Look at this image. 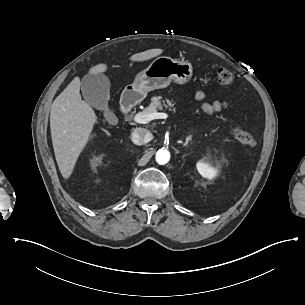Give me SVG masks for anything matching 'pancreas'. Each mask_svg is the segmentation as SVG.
<instances>
[{
    "mask_svg": "<svg viewBox=\"0 0 305 305\" xmlns=\"http://www.w3.org/2000/svg\"><path fill=\"white\" fill-rule=\"evenodd\" d=\"M175 103H172V101L166 99L162 100L161 96H155L151 98V103L150 105L144 110L146 112H154L156 109L162 110L163 107L169 108V110H172L173 112L176 111L175 108L171 109V107H174Z\"/></svg>",
    "mask_w": 305,
    "mask_h": 305,
    "instance_id": "pancreas-1",
    "label": "pancreas"
}]
</instances>
